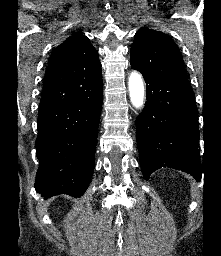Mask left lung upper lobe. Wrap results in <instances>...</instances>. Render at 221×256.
<instances>
[{"mask_svg":"<svg viewBox=\"0 0 221 256\" xmlns=\"http://www.w3.org/2000/svg\"><path fill=\"white\" fill-rule=\"evenodd\" d=\"M130 63L144 78L187 79L184 63L175 42L166 34L141 28L135 34Z\"/></svg>","mask_w":221,"mask_h":256,"instance_id":"1","label":"left lung upper lobe"}]
</instances>
